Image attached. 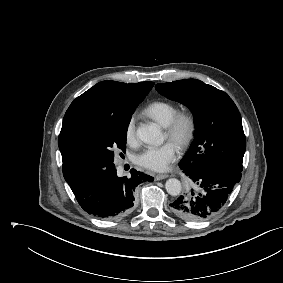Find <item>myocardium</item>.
Returning a JSON list of instances; mask_svg holds the SVG:
<instances>
[{
  "mask_svg": "<svg viewBox=\"0 0 283 283\" xmlns=\"http://www.w3.org/2000/svg\"><path fill=\"white\" fill-rule=\"evenodd\" d=\"M197 123L193 113L178 112L171 123L166 127V136L178 147L187 148L193 141Z\"/></svg>",
  "mask_w": 283,
  "mask_h": 283,
  "instance_id": "obj_1",
  "label": "myocardium"
}]
</instances>
